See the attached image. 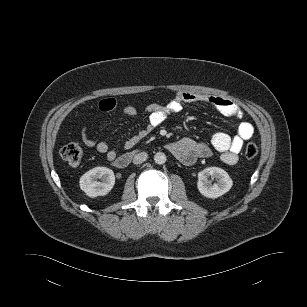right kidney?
Returning <instances> with one entry per match:
<instances>
[{
  "label": "right kidney",
  "mask_w": 307,
  "mask_h": 307,
  "mask_svg": "<svg viewBox=\"0 0 307 307\" xmlns=\"http://www.w3.org/2000/svg\"><path fill=\"white\" fill-rule=\"evenodd\" d=\"M101 179L100 181H97ZM115 184L114 172L107 167H95L80 178V188L89 197L108 194Z\"/></svg>",
  "instance_id": "right-kidney-1"
}]
</instances>
